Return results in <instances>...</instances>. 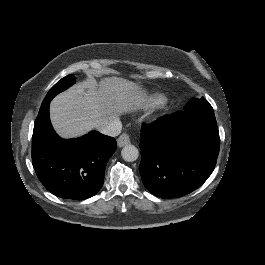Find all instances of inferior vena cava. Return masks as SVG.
Returning <instances> with one entry per match:
<instances>
[{
  "instance_id": "inferior-vena-cava-1",
  "label": "inferior vena cava",
  "mask_w": 265,
  "mask_h": 265,
  "mask_svg": "<svg viewBox=\"0 0 265 265\" xmlns=\"http://www.w3.org/2000/svg\"><path fill=\"white\" fill-rule=\"evenodd\" d=\"M98 131L107 136H117L121 132V121L119 119H115L107 125L100 127Z\"/></svg>"
}]
</instances>
